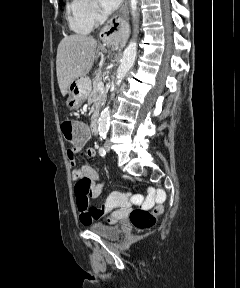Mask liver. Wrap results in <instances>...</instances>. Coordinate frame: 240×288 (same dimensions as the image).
Returning <instances> with one entry per match:
<instances>
[{"label":"liver","mask_w":240,"mask_h":288,"mask_svg":"<svg viewBox=\"0 0 240 288\" xmlns=\"http://www.w3.org/2000/svg\"><path fill=\"white\" fill-rule=\"evenodd\" d=\"M102 46L90 36L69 35L59 43L56 58V71L60 91L68 93L70 84L86 76L91 70L96 55Z\"/></svg>","instance_id":"obj_1"}]
</instances>
